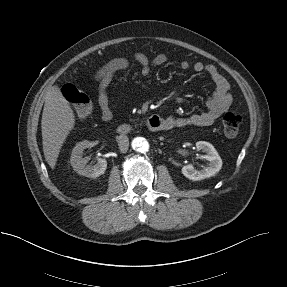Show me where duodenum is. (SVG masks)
<instances>
[{"label":"duodenum","mask_w":287,"mask_h":287,"mask_svg":"<svg viewBox=\"0 0 287 287\" xmlns=\"http://www.w3.org/2000/svg\"><path fill=\"white\" fill-rule=\"evenodd\" d=\"M147 127L151 131H159L162 129V120L159 116H151L145 120ZM135 127L128 123H122L117 127V133L121 135H126L133 132Z\"/></svg>","instance_id":"obj_1"}]
</instances>
